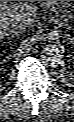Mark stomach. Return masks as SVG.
I'll list each match as a JSON object with an SVG mask.
<instances>
[{
    "label": "stomach",
    "mask_w": 74,
    "mask_h": 122,
    "mask_svg": "<svg viewBox=\"0 0 74 122\" xmlns=\"http://www.w3.org/2000/svg\"><path fill=\"white\" fill-rule=\"evenodd\" d=\"M66 4L68 5L69 4V1H67Z\"/></svg>",
    "instance_id": "obj_1"
}]
</instances>
